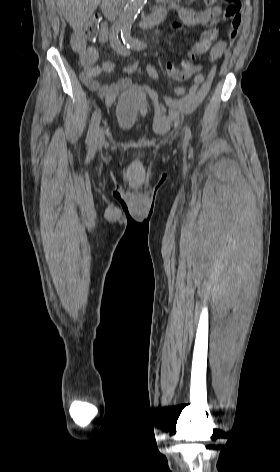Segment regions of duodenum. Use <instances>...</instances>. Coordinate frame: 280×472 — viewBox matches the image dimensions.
<instances>
[{
	"instance_id": "obj_1",
	"label": "duodenum",
	"mask_w": 280,
	"mask_h": 472,
	"mask_svg": "<svg viewBox=\"0 0 280 472\" xmlns=\"http://www.w3.org/2000/svg\"><path fill=\"white\" fill-rule=\"evenodd\" d=\"M102 11L110 21H116L120 12V0H102ZM166 16V9L162 6L151 10L140 22L142 28L153 27L161 23Z\"/></svg>"
}]
</instances>
